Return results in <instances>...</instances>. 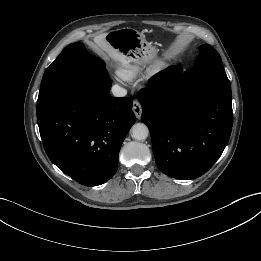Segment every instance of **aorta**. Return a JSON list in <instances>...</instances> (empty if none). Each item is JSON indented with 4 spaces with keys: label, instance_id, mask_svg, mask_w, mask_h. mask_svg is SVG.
I'll list each match as a JSON object with an SVG mask.
<instances>
[{
    "label": "aorta",
    "instance_id": "obj_1",
    "mask_svg": "<svg viewBox=\"0 0 261 261\" xmlns=\"http://www.w3.org/2000/svg\"><path fill=\"white\" fill-rule=\"evenodd\" d=\"M149 135L148 127L143 123H136L131 129V136L137 141L145 140Z\"/></svg>",
    "mask_w": 261,
    "mask_h": 261
}]
</instances>
